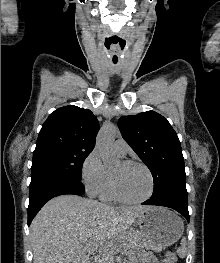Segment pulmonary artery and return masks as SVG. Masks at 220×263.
<instances>
[{
	"label": "pulmonary artery",
	"instance_id": "pulmonary-artery-1",
	"mask_svg": "<svg viewBox=\"0 0 220 263\" xmlns=\"http://www.w3.org/2000/svg\"><path fill=\"white\" fill-rule=\"evenodd\" d=\"M113 148L117 154H119L120 156H124L127 154L129 146L124 139L119 138L115 140Z\"/></svg>",
	"mask_w": 220,
	"mask_h": 263
}]
</instances>
